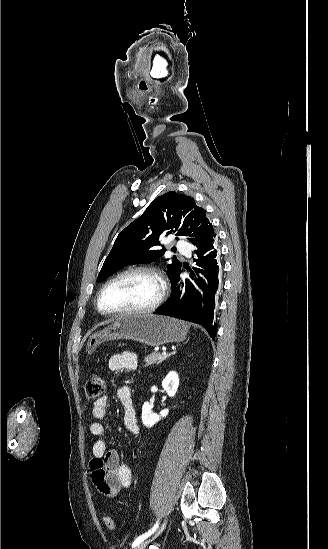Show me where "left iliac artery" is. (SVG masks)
Returning <instances> with one entry per match:
<instances>
[{
    "mask_svg": "<svg viewBox=\"0 0 328 549\" xmlns=\"http://www.w3.org/2000/svg\"><path fill=\"white\" fill-rule=\"evenodd\" d=\"M158 528V522H156V524L154 525V527L149 530L148 532H146L145 534H142L141 536H139L138 538L135 539V541L133 542L132 544V547H135L137 546L138 544H140L142 541H144L146 538H148L152 533H154V531Z\"/></svg>",
    "mask_w": 328,
    "mask_h": 549,
    "instance_id": "obj_1",
    "label": "left iliac artery"
}]
</instances>
